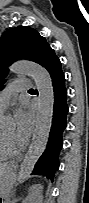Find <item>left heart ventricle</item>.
I'll list each match as a JSON object with an SVG mask.
<instances>
[{
	"instance_id": "1",
	"label": "left heart ventricle",
	"mask_w": 89,
	"mask_h": 203,
	"mask_svg": "<svg viewBox=\"0 0 89 203\" xmlns=\"http://www.w3.org/2000/svg\"><path fill=\"white\" fill-rule=\"evenodd\" d=\"M4 138L14 147H20L24 143L17 137L14 124H10L3 130Z\"/></svg>"
}]
</instances>
